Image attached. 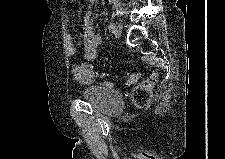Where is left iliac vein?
<instances>
[{
	"instance_id": "left-iliac-vein-1",
	"label": "left iliac vein",
	"mask_w": 225,
	"mask_h": 159,
	"mask_svg": "<svg viewBox=\"0 0 225 159\" xmlns=\"http://www.w3.org/2000/svg\"><path fill=\"white\" fill-rule=\"evenodd\" d=\"M112 33L114 34L115 37H120L121 36V26L115 25Z\"/></svg>"
}]
</instances>
